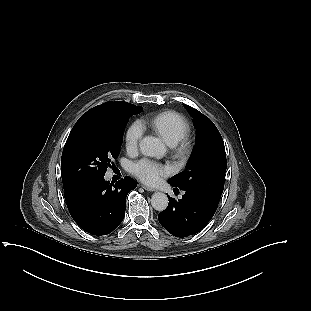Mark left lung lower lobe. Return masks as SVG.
Returning a JSON list of instances; mask_svg holds the SVG:
<instances>
[{"instance_id":"obj_1","label":"left lung lower lobe","mask_w":311,"mask_h":311,"mask_svg":"<svg viewBox=\"0 0 311 311\" xmlns=\"http://www.w3.org/2000/svg\"><path fill=\"white\" fill-rule=\"evenodd\" d=\"M168 197L169 205L159 214L158 220L176 237H186L202 230L218 206L217 202L191 191H186L179 201Z\"/></svg>"}]
</instances>
